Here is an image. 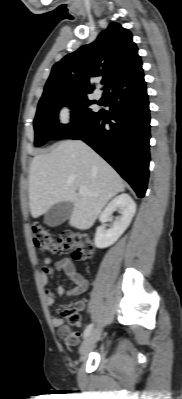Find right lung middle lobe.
I'll return each mask as SVG.
<instances>
[{
    "label": "right lung middle lobe",
    "mask_w": 182,
    "mask_h": 399,
    "mask_svg": "<svg viewBox=\"0 0 182 399\" xmlns=\"http://www.w3.org/2000/svg\"><path fill=\"white\" fill-rule=\"evenodd\" d=\"M94 103L87 95L56 96L40 100L34 120L35 146H41L51 139H61L71 131L81 130L94 116L89 106ZM68 106L71 111V122L62 125L58 121L61 107Z\"/></svg>",
    "instance_id": "obj_1"
}]
</instances>
